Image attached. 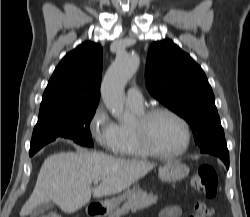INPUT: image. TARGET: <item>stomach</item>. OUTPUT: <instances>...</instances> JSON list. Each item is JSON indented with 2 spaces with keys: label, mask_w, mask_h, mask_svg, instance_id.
<instances>
[{
  "label": "stomach",
  "mask_w": 250,
  "mask_h": 217,
  "mask_svg": "<svg viewBox=\"0 0 250 217\" xmlns=\"http://www.w3.org/2000/svg\"><path fill=\"white\" fill-rule=\"evenodd\" d=\"M188 174L189 167L178 161H169L159 170V178L163 182H177L184 179ZM135 192V188L133 190H126L117 197L105 200V212L107 214L112 213L122 201L129 198Z\"/></svg>",
  "instance_id": "1"
}]
</instances>
